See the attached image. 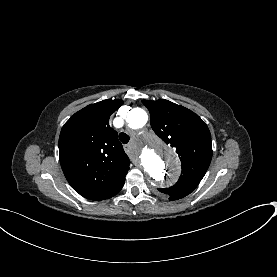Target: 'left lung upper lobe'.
<instances>
[{
    "mask_svg": "<svg viewBox=\"0 0 277 277\" xmlns=\"http://www.w3.org/2000/svg\"><path fill=\"white\" fill-rule=\"evenodd\" d=\"M150 112L153 131L176 148L182 162L178 182L165 189L169 200L190 194L204 177L212 158L211 134L207 125L191 110L168 100H143Z\"/></svg>",
    "mask_w": 277,
    "mask_h": 277,
    "instance_id": "1",
    "label": "left lung upper lobe"
}]
</instances>
